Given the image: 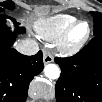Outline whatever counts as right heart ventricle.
<instances>
[{"label": "right heart ventricle", "mask_w": 102, "mask_h": 102, "mask_svg": "<svg viewBox=\"0 0 102 102\" xmlns=\"http://www.w3.org/2000/svg\"><path fill=\"white\" fill-rule=\"evenodd\" d=\"M76 21L71 15L59 14L38 22L36 32L46 40H56Z\"/></svg>", "instance_id": "obj_1"}]
</instances>
